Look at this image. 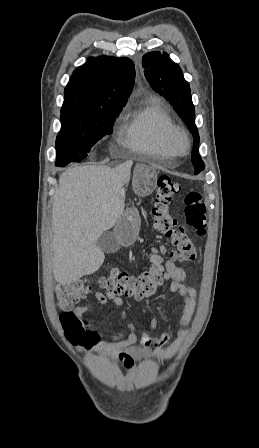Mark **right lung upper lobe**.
I'll return each mask as SVG.
<instances>
[{
    "label": "right lung upper lobe",
    "instance_id": "1",
    "mask_svg": "<svg viewBox=\"0 0 259 448\" xmlns=\"http://www.w3.org/2000/svg\"><path fill=\"white\" fill-rule=\"evenodd\" d=\"M135 81L129 58H88L65 87L61 115L123 108Z\"/></svg>",
    "mask_w": 259,
    "mask_h": 448
}]
</instances>
